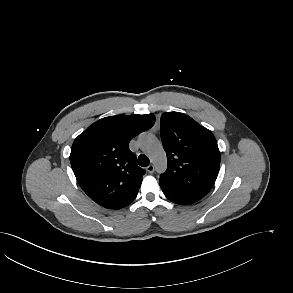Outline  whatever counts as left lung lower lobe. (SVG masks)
Returning a JSON list of instances; mask_svg holds the SVG:
<instances>
[{
	"label": "left lung lower lobe",
	"mask_w": 293,
	"mask_h": 293,
	"mask_svg": "<svg viewBox=\"0 0 293 293\" xmlns=\"http://www.w3.org/2000/svg\"><path fill=\"white\" fill-rule=\"evenodd\" d=\"M161 188H162V191L165 194V196L176 204L189 205V204H192V203L201 199V197H197L194 195L173 192V191L168 190L162 186H161Z\"/></svg>",
	"instance_id": "obj_1"
}]
</instances>
